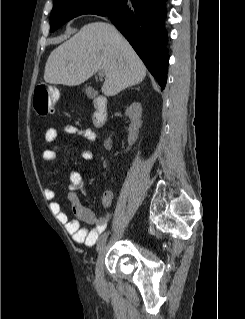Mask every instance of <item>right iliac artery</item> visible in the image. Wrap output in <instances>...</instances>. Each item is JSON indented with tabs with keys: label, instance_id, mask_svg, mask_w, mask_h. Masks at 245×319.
Listing matches in <instances>:
<instances>
[{
	"label": "right iliac artery",
	"instance_id": "right-iliac-artery-1",
	"mask_svg": "<svg viewBox=\"0 0 245 319\" xmlns=\"http://www.w3.org/2000/svg\"><path fill=\"white\" fill-rule=\"evenodd\" d=\"M97 250H100V246L99 245L97 246Z\"/></svg>",
	"mask_w": 245,
	"mask_h": 319
}]
</instances>
